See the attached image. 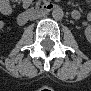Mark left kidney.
I'll use <instances>...</instances> for the list:
<instances>
[{"label":"left kidney","mask_w":91,"mask_h":91,"mask_svg":"<svg viewBox=\"0 0 91 91\" xmlns=\"http://www.w3.org/2000/svg\"><path fill=\"white\" fill-rule=\"evenodd\" d=\"M85 36L88 41L91 40V28L89 26L85 29Z\"/></svg>","instance_id":"1"}]
</instances>
